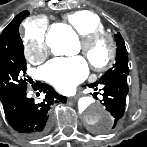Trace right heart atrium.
<instances>
[{
  "label": "right heart atrium",
  "instance_id": "obj_1",
  "mask_svg": "<svg viewBox=\"0 0 147 147\" xmlns=\"http://www.w3.org/2000/svg\"><path fill=\"white\" fill-rule=\"evenodd\" d=\"M47 29L48 23L43 17L29 19L24 25V54L32 62L42 61L47 54Z\"/></svg>",
  "mask_w": 147,
  "mask_h": 147
}]
</instances>
